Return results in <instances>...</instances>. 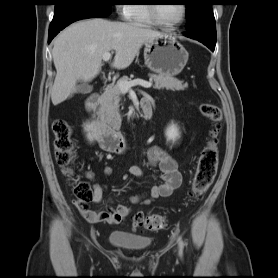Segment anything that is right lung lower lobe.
Masks as SVG:
<instances>
[{
	"label": "right lung lower lobe",
	"instance_id": "right-lung-lower-lobe-1",
	"mask_svg": "<svg viewBox=\"0 0 278 278\" xmlns=\"http://www.w3.org/2000/svg\"><path fill=\"white\" fill-rule=\"evenodd\" d=\"M92 17H96L93 15H89V14H80V13H76V14H71V15H67L63 18H61L58 22L56 23H51L50 27H49V38H48V43L51 42V40L62 30L64 29L66 26H68L69 24L77 21V20H81V19H86V18H92Z\"/></svg>",
	"mask_w": 278,
	"mask_h": 278
}]
</instances>
